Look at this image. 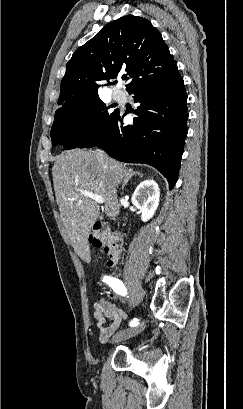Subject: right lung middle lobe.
<instances>
[{"instance_id": "right-lung-middle-lobe-1", "label": "right lung middle lobe", "mask_w": 243, "mask_h": 409, "mask_svg": "<svg viewBox=\"0 0 243 409\" xmlns=\"http://www.w3.org/2000/svg\"><path fill=\"white\" fill-rule=\"evenodd\" d=\"M117 112L118 109L108 113L99 97L59 108L50 133L52 145L76 148L86 137L95 135L110 123Z\"/></svg>"}]
</instances>
